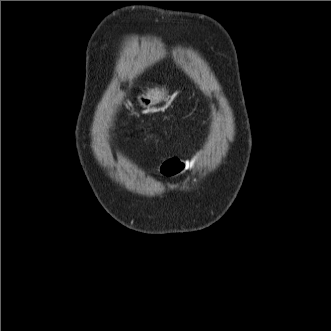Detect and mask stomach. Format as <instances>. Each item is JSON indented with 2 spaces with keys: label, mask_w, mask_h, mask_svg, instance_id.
Here are the masks:
<instances>
[{
  "label": "stomach",
  "mask_w": 331,
  "mask_h": 331,
  "mask_svg": "<svg viewBox=\"0 0 331 331\" xmlns=\"http://www.w3.org/2000/svg\"><path fill=\"white\" fill-rule=\"evenodd\" d=\"M165 98L164 89H149L137 97L138 102L143 107H150L162 101Z\"/></svg>",
  "instance_id": "0dacf381"
}]
</instances>
